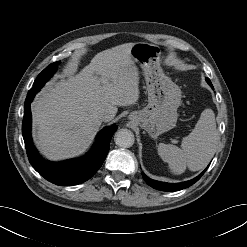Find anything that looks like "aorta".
Here are the masks:
<instances>
[{
    "mask_svg": "<svg viewBox=\"0 0 247 247\" xmlns=\"http://www.w3.org/2000/svg\"><path fill=\"white\" fill-rule=\"evenodd\" d=\"M116 145L121 148H129L134 144V134L129 129H120L114 137Z\"/></svg>",
    "mask_w": 247,
    "mask_h": 247,
    "instance_id": "1",
    "label": "aorta"
}]
</instances>
